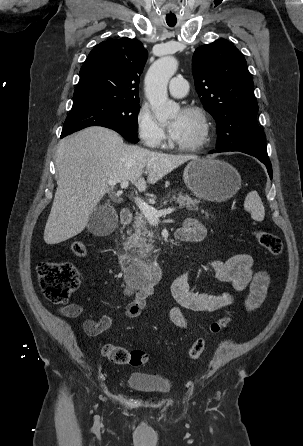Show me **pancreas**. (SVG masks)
Wrapping results in <instances>:
<instances>
[{"mask_svg":"<svg viewBox=\"0 0 303 446\" xmlns=\"http://www.w3.org/2000/svg\"><path fill=\"white\" fill-rule=\"evenodd\" d=\"M29 8L34 7L31 3L28 5ZM174 201L179 204L180 207H186L188 210H198L197 204L199 203L196 199H191L189 195H183L179 193L178 196H173L171 202ZM163 204H167L164 201ZM148 221L142 213L135 216L133 228L127 230V240L123 244L125 250H131L133 254H137L139 258H147L151 255L154 249V232L148 230Z\"/></svg>","mask_w":303,"mask_h":446,"instance_id":"obj_1","label":"pancreas"}]
</instances>
